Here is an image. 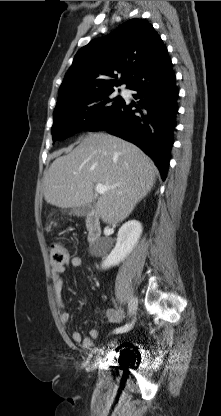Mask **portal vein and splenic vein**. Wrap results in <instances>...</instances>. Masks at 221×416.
Here are the masks:
<instances>
[{
  "label": "portal vein and splenic vein",
  "mask_w": 221,
  "mask_h": 416,
  "mask_svg": "<svg viewBox=\"0 0 221 416\" xmlns=\"http://www.w3.org/2000/svg\"><path fill=\"white\" fill-rule=\"evenodd\" d=\"M110 188L111 187L105 186V185L99 183V184L96 185L95 190H96L97 193L103 194L105 191L109 190ZM112 188H114V187H112Z\"/></svg>",
  "instance_id": "obj_1"
}]
</instances>
